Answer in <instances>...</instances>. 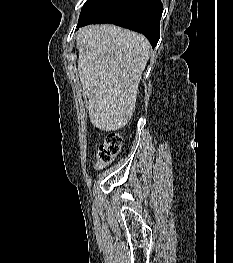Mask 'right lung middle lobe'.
I'll return each mask as SVG.
<instances>
[{
    "label": "right lung middle lobe",
    "mask_w": 233,
    "mask_h": 263,
    "mask_svg": "<svg viewBox=\"0 0 233 263\" xmlns=\"http://www.w3.org/2000/svg\"><path fill=\"white\" fill-rule=\"evenodd\" d=\"M127 0H87L83 6L79 21L102 22L116 13Z\"/></svg>",
    "instance_id": "1"
}]
</instances>
